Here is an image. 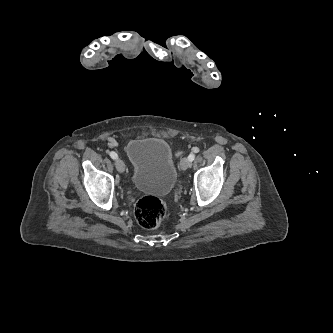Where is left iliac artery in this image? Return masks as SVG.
I'll list each match as a JSON object with an SVG mask.
<instances>
[{"label":"left iliac artery","instance_id":"obj_1","mask_svg":"<svg viewBox=\"0 0 333 333\" xmlns=\"http://www.w3.org/2000/svg\"><path fill=\"white\" fill-rule=\"evenodd\" d=\"M188 159H189L190 161H193V160L195 159V154L190 153L189 156H188Z\"/></svg>","mask_w":333,"mask_h":333}]
</instances>
